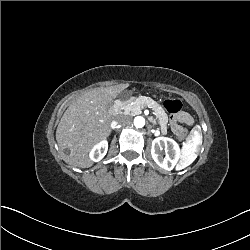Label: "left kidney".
<instances>
[{"label":"left kidney","instance_id":"left-kidney-1","mask_svg":"<svg viewBox=\"0 0 250 250\" xmlns=\"http://www.w3.org/2000/svg\"><path fill=\"white\" fill-rule=\"evenodd\" d=\"M163 145L167 149L166 157L162 155ZM151 155L158 166L171 171L180 159L181 151L175 140L166 137H158L152 141Z\"/></svg>","mask_w":250,"mask_h":250}]
</instances>
